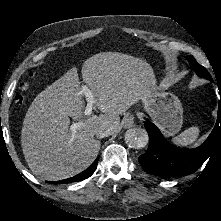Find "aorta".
Here are the masks:
<instances>
[{
	"label": "aorta",
	"instance_id": "762f6f07",
	"mask_svg": "<svg viewBox=\"0 0 221 221\" xmlns=\"http://www.w3.org/2000/svg\"><path fill=\"white\" fill-rule=\"evenodd\" d=\"M124 140L130 148L140 149L147 145L149 137L145 129L132 128L126 131Z\"/></svg>",
	"mask_w": 221,
	"mask_h": 221
}]
</instances>
